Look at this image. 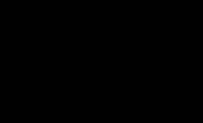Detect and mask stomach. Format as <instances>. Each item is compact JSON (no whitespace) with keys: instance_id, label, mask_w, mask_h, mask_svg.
I'll list each match as a JSON object with an SVG mask.
<instances>
[{"instance_id":"stomach-1","label":"stomach","mask_w":203,"mask_h":123,"mask_svg":"<svg viewBox=\"0 0 203 123\" xmlns=\"http://www.w3.org/2000/svg\"><path fill=\"white\" fill-rule=\"evenodd\" d=\"M118 21L114 20L109 22L108 24H106L103 28L104 31H111L112 29H114L115 27H117L118 25Z\"/></svg>"}]
</instances>
